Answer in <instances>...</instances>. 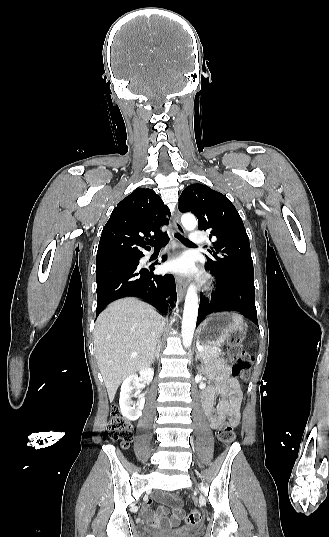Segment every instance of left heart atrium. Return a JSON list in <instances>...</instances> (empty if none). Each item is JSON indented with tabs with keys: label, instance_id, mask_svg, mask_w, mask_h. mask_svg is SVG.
<instances>
[{
	"label": "left heart atrium",
	"instance_id": "left-heart-atrium-1",
	"mask_svg": "<svg viewBox=\"0 0 329 537\" xmlns=\"http://www.w3.org/2000/svg\"><path fill=\"white\" fill-rule=\"evenodd\" d=\"M168 268L179 273H186L193 268V259L190 256H182L168 264Z\"/></svg>",
	"mask_w": 329,
	"mask_h": 537
}]
</instances>
